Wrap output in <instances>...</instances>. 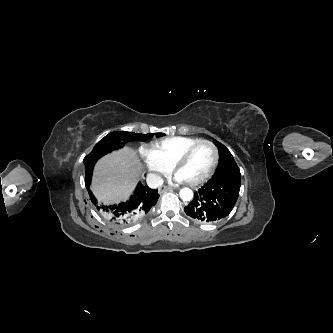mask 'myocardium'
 <instances>
[{
  "label": "myocardium",
  "mask_w": 333,
  "mask_h": 333,
  "mask_svg": "<svg viewBox=\"0 0 333 333\" xmlns=\"http://www.w3.org/2000/svg\"><path fill=\"white\" fill-rule=\"evenodd\" d=\"M202 144H206L209 145L213 148L214 153H215V158L213 161L212 166L210 167V169L200 178L192 180V181H186V183L190 186H197L202 184L203 182H205L206 180H208L213 173L215 172L218 164H219V160H220V152L217 148V146L210 140H205V139H200L197 142H195L194 144L190 145L188 148H186L175 160V162L172 165V171L174 172V174H178L179 169L185 164V162L188 160L190 154L192 153V151L198 147L199 145Z\"/></svg>",
  "instance_id": "1"
}]
</instances>
